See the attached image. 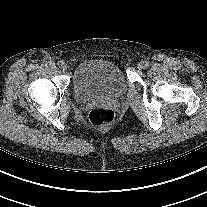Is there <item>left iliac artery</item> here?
<instances>
[{
  "mask_svg": "<svg viewBox=\"0 0 207 207\" xmlns=\"http://www.w3.org/2000/svg\"><path fill=\"white\" fill-rule=\"evenodd\" d=\"M144 63H145V67L149 66V63L147 61H145Z\"/></svg>",
  "mask_w": 207,
  "mask_h": 207,
  "instance_id": "left-iliac-artery-1",
  "label": "left iliac artery"
}]
</instances>
